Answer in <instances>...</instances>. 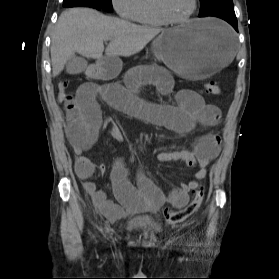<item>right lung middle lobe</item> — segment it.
<instances>
[{"mask_svg":"<svg viewBox=\"0 0 279 279\" xmlns=\"http://www.w3.org/2000/svg\"><path fill=\"white\" fill-rule=\"evenodd\" d=\"M96 3L101 9L112 12V2L111 0H91Z\"/></svg>","mask_w":279,"mask_h":279,"instance_id":"right-lung-middle-lobe-1","label":"right lung middle lobe"}]
</instances>
